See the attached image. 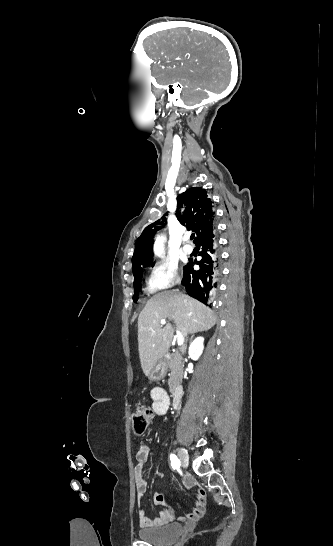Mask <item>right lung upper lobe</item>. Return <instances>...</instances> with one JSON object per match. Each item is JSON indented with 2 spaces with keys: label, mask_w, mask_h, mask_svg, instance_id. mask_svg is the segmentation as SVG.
I'll list each match as a JSON object with an SVG mask.
<instances>
[{
  "label": "right lung upper lobe",
  "mask_w": 333,
  "mask_h": 546,
  "mask_svg": "<svg viewBox=\"0 0 333 546\" xmlns=\"http://www.w3.org/2000/svg\"><path fill=\"white\" fill-rule=\"evenodd\" d=\"M176 217L179 222L196 233L195 242L206 231L214 226V211L212 201L208 198L206 191L200 187H194L180 194L177 199ZM165 218L147 226L136 241L134 255L132 257L134 276L142 272V268L148 265L154 266L151 262L153 257V236L164 225Z\"/></svg>",
  "instance_id": "1"
}]
</instances>
